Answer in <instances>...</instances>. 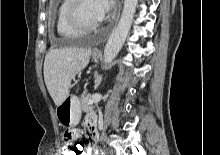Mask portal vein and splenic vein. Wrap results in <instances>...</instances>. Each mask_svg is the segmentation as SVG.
<instances>
[{
    "mask_svg": "<svg viewBox=\"0 0 220 155\" xmlns=\"http://www.w3.org/2000/svg\"><path fill=\"white\" fill-rule=\"evenodd\" d=\"M88 104H89V105H92V104H93V100L90 99L89 102H88Z\"/></svg>",
    "mask_w": 220,
    "mask_h": 155,
    "instance_id": "18ae733b",
    "label": "portal vein and splenic vein"
}]
</instances>
